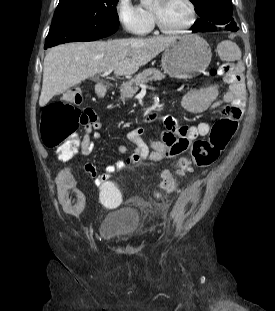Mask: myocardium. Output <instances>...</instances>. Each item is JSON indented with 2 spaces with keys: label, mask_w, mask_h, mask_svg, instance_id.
Here are the masks:
<instances>
[{
  "label": "myocardium",
  "mask_w": 275,
  "mask_h": 311,
  "mask_svg": "<svg viewBox=\"0 0 275 311\" xmlns=\"http://www.w3.org/2000/svg\"><path fill=\"white\" fill-rule=\"evenodd\" d=\"M185 3L188 5L189 7V11H190V18L188 20V22L177 29H168L166 28L162 21L160 20V17L157 13V11H155L154 9H151V14L153 17V22L155 24V26L157 27V29L165 34V35H177V34H182L184 32H186L187 30H189L195 23L196 21V17H197V10H196V6L193 0H184Z\"/></svg>",
  "instance_id": "1"
}]
</instances>
